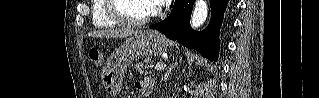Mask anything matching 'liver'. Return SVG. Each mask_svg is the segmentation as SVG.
<instances>
[{"mask_svg":"<svg viewBox=\"0 0 319 98\" xmlns=\"http://www.w3.org/2000/svg\"><path fill=\"white\" fill-rule=\"evenodd\" d=\"M141 33V31L129 30V29H110V30H100L97 32H92L89 36L100 37V38H124L132 36L134 34Z\"/></svg>","mask_w":319,"mask_h":98,"instance_id":"6515ba94","label":"liver"}]
</instances>
